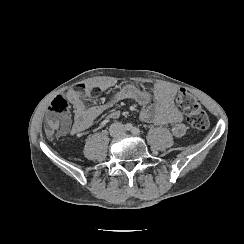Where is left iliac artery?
<instances>
[{"label":"left iliac artery","instance_id":"1","mask_svg":"<svg viewBox=\"0 0 244 244\" xmlns=\"http://www.w3.org/2000/svg\"><path fill=\"white\" fill-rule=\"evenodd\" d=\"M132 133L135 134V135H138V134H140V129L137 128V127H134V128L132 129Z\"/></svg>","mask_w":244,"mask_h":244}]
</instances>
